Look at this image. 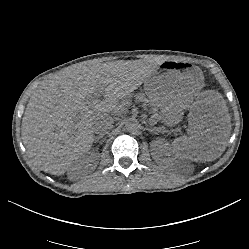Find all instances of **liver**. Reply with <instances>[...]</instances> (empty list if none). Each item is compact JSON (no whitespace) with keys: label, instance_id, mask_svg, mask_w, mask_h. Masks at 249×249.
<instances>
[{"label":"liver","instance_id":"liver-1","mask_svg":"<svg viewBox=\"0 0 249 249\" xmlns=\"http://www.w3.org/2000/svg\"><path fill=\"white\" fill-rule=\"evenodd\" d=\"M152 75L150 67L114 65L68 67L42 81L32 93L22 118L23 143L33 165L52 175L80 168L95 138L93 124L103 114L116 111L119 100L130 96ZM100 92L104 99L93 100ZM163 93L149 92L160 109L158 120L171 127L189 109V136L176 138L171 146L174 158L210 162L225 151L231 117L223 97L202 92L192 104L167 103Z\"/></svg>","mask_w":249,"mask_h":249}]
</instances>
